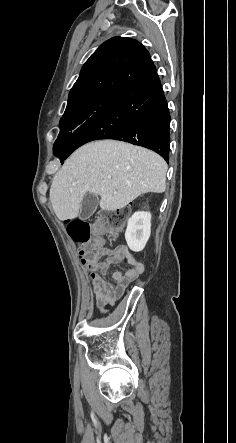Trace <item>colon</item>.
<instances>
[{"instance_id":"1","label":"colon","mask_w":236,"mask_h":443,"mask_svg":"<svg viewBox=\"0 0 236 443\" xmlns=\"http://www.w3.org/2000/svg\"><path fill=\"white\" fill-rule=\"evenodd\" d=\"M125 223L126 215L116 212L107 218L98 219L93 224L81 218L71 219L67 222V231L70 238L81 245V260L90 262L100 256L102 241L114 238L122 231ZM94 236L99 240L93 241Z\"/></svg>"}]
</instances>
